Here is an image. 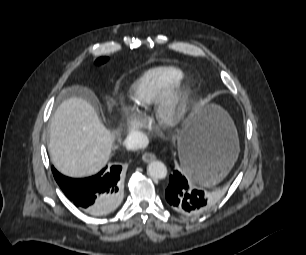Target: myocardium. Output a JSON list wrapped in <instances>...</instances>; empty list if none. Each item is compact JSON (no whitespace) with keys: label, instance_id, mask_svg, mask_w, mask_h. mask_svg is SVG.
Instances as JSON below:
<instances>
[{"label":"myocardium","instance_id":"myocardium-1","mask_svg":"<svg viewBox=\"0 0 306 255\" xmlns=\"http://www.w3.org/2000/svg\"><path fill=\"white\" fill-rule=\"evenodd\" d=\"M193 93L190 84L182 85L165 95L155 108L154 117L161 128H174L182 123Z\"/></svg>","mask_w":306,"mask_h":255}]
</instances>
